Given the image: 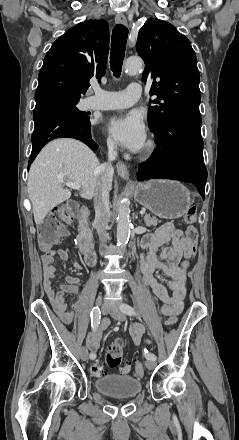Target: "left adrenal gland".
<instances>
[{"label": "left adrenal gland", "instance_id": "left-adrenal-gland-1", "mask_svg": "<svg viewBox=\"0 0 239 440\" xmlns=\"http://www.w3.org/2000/svg\"><path fill=\"white\" fill-rule=\"evenodd\" d=\"M135 218H138V216H135ZM140 224H141V220H139Z\"/></svg>", "mask_w": 239, "mask_h": 440}]
</instances>
